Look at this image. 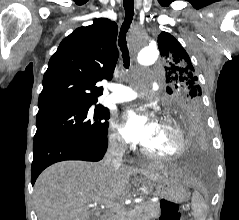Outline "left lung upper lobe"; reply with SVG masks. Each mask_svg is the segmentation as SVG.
Wrapping results in <instances>:
<instances>
[{
  "label": "left lung upper lobe",
  "mask_w": 239,
  "mask_h": 220,
  "mask_svg": "<svg viewBox=\"0 0 239 220\" xmlns=\"http://www.w3.org/2000/svg\"><path fill=\"white\" fill-rule=\"evenodd\" d=\"M158 47L164 59L169 112L175 117L187 108H203L201 87L184 48L167 32L158 36Z\"/></svg>",
  "instance_id": "obj_1"
}]
</instances>
